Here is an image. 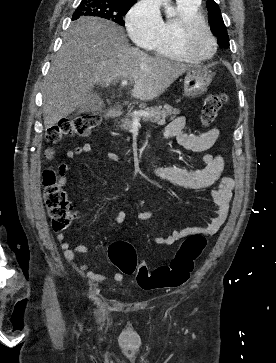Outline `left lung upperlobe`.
<instances>
[{
    "mask_svg": "<svg viewBox=\"0 0 276 363\" xmlns=\"http://www.w3.org/2000/svg\"><path fill=\"white\" fill-rule=\"evenodd\" d=\"M207 7L212 33L218 37L217 42L221 47L228 48L229 37L218 5L215 3L214 0H208Z\"/></svg>",
    "mask_w": 276,
    "mask_h": 363,
    "instance_id": "left-lung-upper-lobe-1",
    "label": "left lung upper lobe"
}]
</instances>
